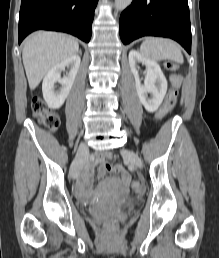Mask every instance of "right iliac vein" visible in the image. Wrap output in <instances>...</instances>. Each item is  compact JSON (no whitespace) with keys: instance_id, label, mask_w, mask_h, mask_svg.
I'll return each mask as SVG.
<instances>
[{"instance_id":"63e3f726","label":"right iliac vein","mask_w":219,"mask_h":258,"mask_svg":"<svg viewBox=\"0 0 219 258\" xmlns=\"http://www.w3.org/2000/svg\"><path fill=\"white\" fill-rule=\"evenodd\" d=\"M87 154H88V146L85 143H81L78 147L73 164L70 167L71 178L75 179L78 176L80 169L85 163Z\"/></svg>"}]
</instances>
